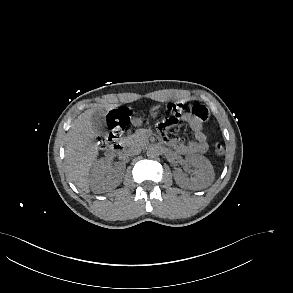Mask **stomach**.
<instances>
[{"mask_svg":"<svg viewBox=\"0 0 293 293\" xmlns=\"http://www.w3.org/2000/svg\"><path fill=\"white\" fill-rule=\"evenodd\" d=\"M151 114L155 117L157 116L158 114V110L156 108H153L151 110ZM132 123L135 125V126H140L142 123H143V119L140 118V117H134L133 120H132Z\"/></svg>","mask_w":293,"mask_h":293,"instance_id":"obj_1","label":"stomach"}]
</instances>
